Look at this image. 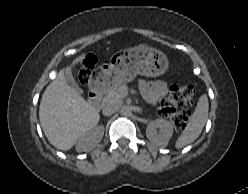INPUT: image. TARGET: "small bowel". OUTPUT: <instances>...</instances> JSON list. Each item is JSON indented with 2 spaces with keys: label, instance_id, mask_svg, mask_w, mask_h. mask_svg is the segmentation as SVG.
Wrapping results in <instances>:
<instances>
[{
  "label": "small bowel",
  "instance_id": "small-bowel-1",
  "mask_svg": "<svg viewBox=\"0 0 248 194\" xmlns=\"http://www.w3.org/2000/svg\"><path fill=\"white\" fill-rule=\"evenodd\" d=\"M140 89L152 104L159 103L167 94V85L163 81H141Z\"/></svg>",
  "mask_w": 248,
  "mask_h": 194
}]
</instances>
